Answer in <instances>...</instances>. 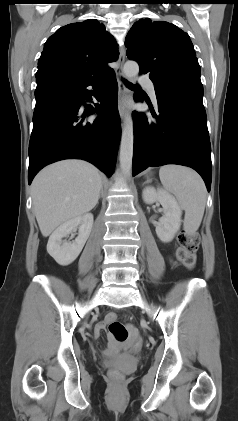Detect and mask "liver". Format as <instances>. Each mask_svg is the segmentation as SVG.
Returning a JSON list of instances; mask_svg holds the SVG:
<instances>
[{
	"label": "liver",
	"mask_w": 238,
	"mask_h": 421,
	"mask_svg": "<svg viewBox=\"0 0 238 421\" xmlns=\"http://www.w3.org/2000/svg\"><path fill=\"white\" fill-rule=\"evenodd\" d=\"M102 176L92 164L64 160L42 169L32 183L35 216L44 237L98 203Z\"/></svg>",
	"instance_id": "1"
}]
</instances>
